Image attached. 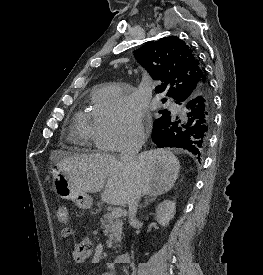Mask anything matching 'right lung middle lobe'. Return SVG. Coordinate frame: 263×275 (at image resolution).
Listing matches in <instances>:
<instances>
[{
	"label": "right lung middle lobe",
	"instance_id": "obj_1",
	"mask_svg": "<svg viewBox=\"0 0 263 275\" xmlns=\"http://www.w3.org/2000/svg\"><path fill=\"white\" fill-rule=\"evenodd\" d=\"M163 102H165V99L162 100ZM160 113L162 114L161 117H167V116H170V112L167 111L166 109L165 110H160Z\"/></svg>",
	"mask_w": 263,
	"mask_h": 275
}]
</instances>
